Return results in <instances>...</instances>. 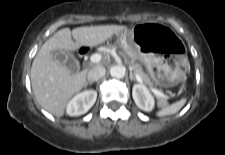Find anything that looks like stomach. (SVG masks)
I'll use <instances>...</instances> for the list:
<instances>
[{"label": "stomach", "instance_id": "0dacf381", "mask_svg": "<svg viewBox=\"0 0 225 155\" xmlns=\"http://www.w3.org/2000/svg\"><path fill=\"white\" fill-rule=\"evenodd\" d=\"M117 38L133 60H141L158 84H175L186 73L184 45L168 27L157 23H139Z\"/></svg>", "mask_w": 225, "mask_h": 155}]
</instances>
